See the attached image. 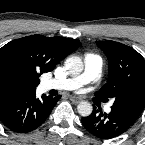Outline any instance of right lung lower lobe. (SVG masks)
<instances>
[{"label": "right lung lower lobe", "mask_w": 145, "mask_h": 145, "mask_svg": "<svg viewBox=\"0 0 145 145\" xmlns=\"http://www.w3.org/2000/svg\"><path fill=\"white\" fill-rule=\"evenodd\" d=\"M61 96L42 95L37 99L35 93L0 100V121L10 130L27 133L41 126Z\"/></svg>", "instance_id": "1"}]
</instances>
